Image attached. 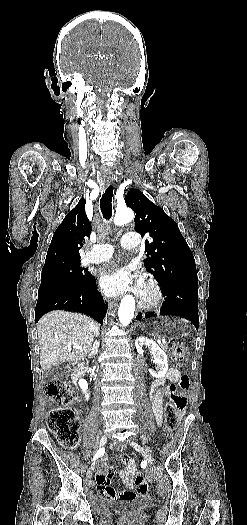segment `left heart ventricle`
<instances>
[{
    "instance_id": "b2bd125f",
    "label": "left heart ventricle",
    "mask_w": 247,
    "mask_h": 525,
    "mask_svg": "<svg viewBox=\"0 0 247 525\" xmlns=\"http://www.w3.org/2000/svg\"><path fill=\"white\" fill-rule=\"evenodd\" d=\"M128 254L133 256L130 253H128ZM135 266H136V260L135 259H129V260L124 261V263H123V268L125 270H132V269L135 268ZM142 288H143V294H146V295L150 294L151 290H150V286H149V283H148L147 280L143 281Z\"/></svg>"
}]
</instances>
